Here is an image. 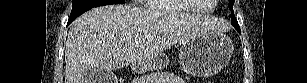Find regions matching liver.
I'll return each instance as SVG.
<instances>
[{
	"label": "liver",
	"instance_id": "obj_1",
	"mask_svg": "<svg viewBox=\"0 0 307 83\" xmlns=\"http://www.w3.org/2000/svg\"><path fill=\"white\" fill-rule=\"evenodd\" d=\"M208 16L158 13L124 6L93 8L70 27L65 47V83H82L89 69L112 71L140 64L178 42L220 34Z\"/></svg>",
	"mask_w": 307,
	"mask_h": 83
}]
</instances>
